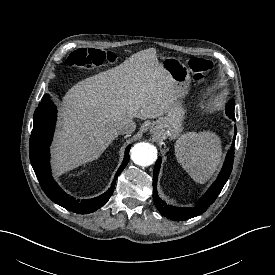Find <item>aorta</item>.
<instances>
[{"mask_svg":"<svg viewBox=\"0 0 275 275\" xmlns=\"http://www.w3.org/2000/svg\"><path fill=\"white\" fill-rule=\"evenodd\" d=\"M131 159L137 165L149 166L157 159L156 148L149 143H137L131 149Z\"/></svg>","mask_w":275,"mask_h":275,"instance_id":"obj_1","label":"aorta"}]
</instances>
